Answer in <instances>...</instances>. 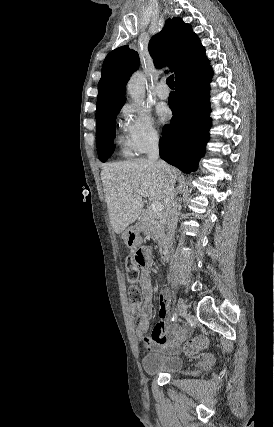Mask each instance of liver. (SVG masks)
I'll use <instances>...</instances> for the list:
<instances>
[{
    "label": "liver",
    "mask_w": 274,
    "mask_h": 427,
    "mask_svg": "<svg viewBox=\"0 0 274 427\" xmlns=\"http://www.w3.org/2000/svg\"><path fill=\"white\" fill-rule=\"evenodd\" d=\"M162 160H128L105 164L101 180L111 225L115 233H122L127 225L140 217L144 202L136 190H145L151 202L164 200L165 190L175 182L179 172L169 166L165 172ZM168 166V164H165Z\"/></svg>",
    "instance_id": "liver-1"
}]
</instances>
